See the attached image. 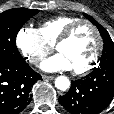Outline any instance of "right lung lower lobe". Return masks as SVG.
Wrapping results in <instances>:
<instances>
[{"label": "right lung lower lobe", "instance_id": "98d812e1", "mask_svg": "<svg viewBox=\"0 0 114 114\" xmlns=\"http://www.w3.org/2000/svg\"><path fill=\"white\" fill-rule=\"evenodd\" d=\"M41 80L23 59L16 62L0 61V114H19L31 101L30 90Z\"/></svg>", "mask_w": 114, "mask_h": 114}]
</instances>
